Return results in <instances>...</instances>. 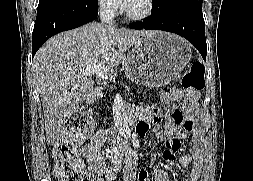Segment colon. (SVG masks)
Masks as SVG:
<instances>
[{"label": "colon", "instance_id": "colon-1", "mask_svg": "<svg viewBox=\"0 0 253 181\" xmlns=\"http://www.w3.org/2000/svg\"><path fill=\"white\" fill-rule=\"evenodd\" d=\"M204 72L203 64L194 62L182 78L183 88L193 93L201 91ZM91 130V124L83 114H77L66 122L55 146V176L58 181H93L85 172L76 148V143L88 136Z\"/></svg>", "mask_w": 253, "mask_h": 181}]
</instances>
